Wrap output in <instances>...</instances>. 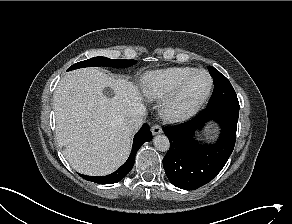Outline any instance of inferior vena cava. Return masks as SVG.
Returning <instances> with one entry per match:
<instances>
[{
	"label": "inferior vena cava",
	"instance_id": "obj_1",
	"mask_svg": "<svg viewBox=\"0 0 292 224\" xmlns=\"http://www.w3.org/2000/svg\"><path fill=\"white\" fill-rule=\"evenodd\" d=\"M146 114V107L143 104H137L128 114V124L133 129H138L143 122Z\"/></svg>",
	"mask_w": 292,
	"mask_h": 224
}]
</instances>
